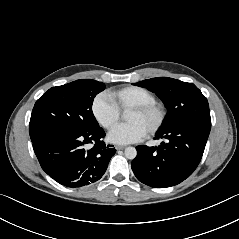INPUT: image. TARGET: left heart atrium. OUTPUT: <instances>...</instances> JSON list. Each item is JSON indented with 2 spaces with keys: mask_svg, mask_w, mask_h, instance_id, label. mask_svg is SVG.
Returning <instances> with one entry per match:
<instances>
[{
  "mask_svg": "<svg viewBox=\"0 0 239 239\" xmlns=\"http://www.w3.org/2000/svg\"><path fill=\"white\" fill-rule=\"evenodd\" d=\"M147 131L137 123L120 124L113 128L108 139L116 144H129L144 139Z\"/></svg>",
  "mask_w": 239,
  "mask_h": 239,
  "instance_id": "obj_1",
  "label": "left heart atrium"
}]
</instances>
